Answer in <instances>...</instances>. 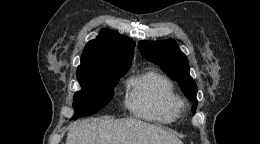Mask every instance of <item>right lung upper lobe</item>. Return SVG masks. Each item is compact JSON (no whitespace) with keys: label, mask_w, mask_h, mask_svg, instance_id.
Returning <instances> with one entry per match:
<instances>
[{"label":"right lung upper lobe","mask_w":260,"mask_h":144,"mask_svg":"<svg viewBox=\"0 0 260 144\" xmlns=\"http://www.w3.org/2000/svg\"><path fill=\"white\" fill-rule=\"evenodd\" d=\"M135 42L117 32L102 29L85 46L77 76L128 70Z\"/></svg>","instance_id":"1"}]
</instances>
